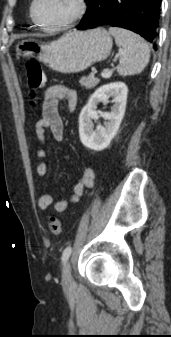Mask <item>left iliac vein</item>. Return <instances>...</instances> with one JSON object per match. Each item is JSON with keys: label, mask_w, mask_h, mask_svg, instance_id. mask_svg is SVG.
<instances>
[{"label": "left iliac vein", "mask_w": 171, "mask_h": 337, "mask_svg": "<svg viewBox=\"0 0 171 337\" xmlns=\"http://www.w3.org/2000/svg\"><path fill=\"white\" fill-rule=\"evenodd\" d=\"M62 283L63 285L70 287L73 285L74 281L71 275V267L69 262H65L62 270Z\"/></svg>", "instance_id": "left-iliac-vein-1"}]
</instances>
